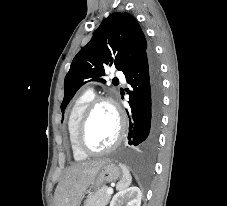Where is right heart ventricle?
<instances>
[{
  "instance_id": "obj_1",
  "label": "right heart ventricle",
  "mask_w": 227,
  "mask_h": 206,
  "mask_svg": "<svg viewBox=\"0 0 227 206\" xmlns=\"http://www.w3.org/2000/svg\"><path fill=\"white\" fill-rule=\"evenodd\" d=\"M93 98L94 95L91 91L83 92L75 99L68 114L66 123L67 137L72 156L77 161H82L86 159L87 155L82 153L76 146L75 143L76 128L82 112Z\"/></svg>"
}]
</instances>
